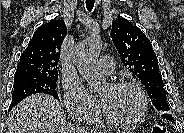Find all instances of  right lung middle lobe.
Returning <instances> with one entry per match:
<instances>
[{
  "label": "right lung middle lobe",
  "instance_id": "right-lung-middle-lobe-1",
  "mask_svg": "<svg viewBox=\"0 0 184 133\" xmlns=\"http://www.w3.org/2000/svg\"><path fill=\"white\" fill-rule=\"evenodd\" d=\"M57 80L58 76L14 78V91L12 94V102L9 106V110H11L21 100L32 94L44 93L59 100L56 91Z\"/></svg>",
  "mask_w": 184,
  "mask_h": 133
}]
</instances>
